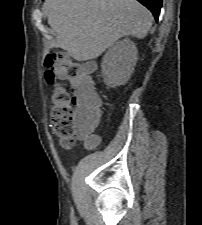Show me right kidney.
Returning a JSON list of instances; mask_svg holds the SVG:
<instances>
[{"label": "right kidney", "mask_w": 202, "mask_h": 225, "mask_svg": "<svg viewBox=\"0 0 202 225\" xmlns=\"http://www.w3.org/2000/svg\"><path fill=\"white\" fill-rule=\"evenodd\" d=\"M137 48L130 39L115 43L104 55L101 68L107 87L124 85L134 71Z\"/></svg>", "instance_id": "1"}]
</instances>
